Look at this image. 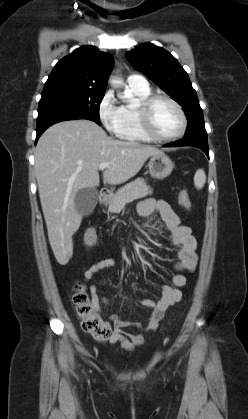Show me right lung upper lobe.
Masks as SVG:
<instances>
[{"label":"right lung upper lobe","instance_id":"right-lung-upper-lobe-1","mask_svg":"<svg viewBox=\"0 0 248 419\" xmlns=\"http://www.w3.org/2000/svg\"><path fill=\"white\" fill-rule=\"evenodd\" d=\"M113 57L93 46H83L61 59L44 88L75 87L105 92Z\"/></svg>","mask_w":248,"mask_h":419}]
</instances>
